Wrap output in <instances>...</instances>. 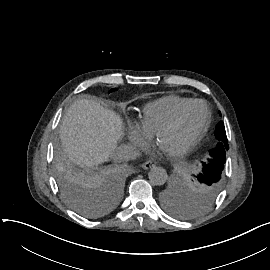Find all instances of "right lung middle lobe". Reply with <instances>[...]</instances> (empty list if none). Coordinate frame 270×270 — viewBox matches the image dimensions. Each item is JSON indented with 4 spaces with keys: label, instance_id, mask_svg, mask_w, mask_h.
I'll return each instance as SVG.
<instances>
[{
    "label": "right lung middle lobe",
    "instance_id": "right-lung-middle-lobe-1",
    "mask_svg": "<svg viewBox=\"0 0 270 270\" xmlns=\"http://www.w3.org/2000/svg\"><path fill=\"white\" fill-rule=\"evenodd\" d=\"M115 90L111 89L109 92ZM55 174L62 197L73 210L87 217L100 214L101 211L91 205L90 185L85 176L76 173L62 161L57 165Z\"/></svg>",
    "mask_w": 270,
    "mask_h": 270
}]
</instances>
